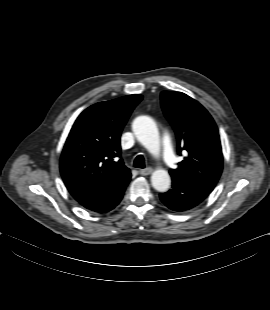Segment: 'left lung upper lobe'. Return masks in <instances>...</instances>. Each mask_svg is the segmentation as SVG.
<instances>
[{
    "mask_svg": "<svg viewBox=\"0 0 270 310\" xmlns=\"http://www.w3.org/2000/svg\"><path fill=\"white\" fill-rule=\"evenodd\" d=\"M161 104L177 136L178 154L187 156L170 170L171 176L215 187L222 172L223 155L217 126L207 110L181 92L163 91Z\"/></svg>",
    "mask_w": 270,
    "mask_h": 310,
    "instance_id": "5c2ea615",
    "label": "left lung upper lobe"
}]
</instances>
